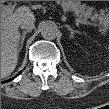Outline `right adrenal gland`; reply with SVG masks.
<instances>
[{
  "label": "right adrenal gland",
  "mask_w": 109,
  "mask_h": 109,
  "mask_svg": "<svg viewBox=\"0 0 109 109\" xmlns=\"http://www.w3.org/2000/svg\"><path fill=\"white\" fill-rule=\"evenodd\" d=\"M27 33H29V31H24V32L22 33V35H20L18 52H20L21 49H22V47H23V43H24L25 36H26Z\"/></svg>",
  "instance_id": "right-adrenal-gland-1"
}]
</instances>
